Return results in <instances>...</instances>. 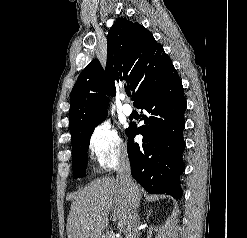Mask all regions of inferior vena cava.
Here are the masks:
<instances>
[{"mask_svg":"<svg viewBox=\"0 0 247 238\" xmlns=\"http://www.w3.org/2000/svg\"><path fill=\"white\" fill-rule=\"evenodd\" d=\"M116 172L117 180L124 186L131 200V213L127 223L126 238H139L140 222L137 212L139 207V199L136 193V184L134 183L131 176L129 159L125 151L122 152L119 156Z\"/></svg>","mask_w":247,"mask_h":238,"instance_id":"inferior-vena-cava-1","label":"inferior vena cava"}]
</instances>
